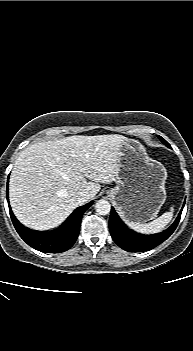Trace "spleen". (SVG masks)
<instances>
[{
    "instance_id": "obj_1",
    "label": "spleen",
    "mask_w": 193,
    "mask_h": 351,
    "mask_svg": "<svg viewBox=\"0 0 193 351\" xmlns=\"http://www.w3.org/2000/svg\"><path fill=\"white\" fill-rule=\"evenodd\" d=\"M173 207H171L169 212H165L163 215L158 217L157 219L149 222V223H137L133 221H127V224L129 227L132 229L145 233V234H150V233H158L161 230H163L168 223L172 220L173 217Z\"/></svg>"
}]
</instances>
